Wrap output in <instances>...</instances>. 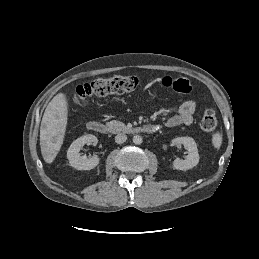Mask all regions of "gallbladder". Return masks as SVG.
<instances>
[{
  "label": "gallbladder",
  "instance_id": "bac80fb5",
  "mask_svg": "<svg viewBox=\"0 0 259 259\" xmlns=\"http://www.w3.org/2000/svg\"><path fill=\"white\" fill-rule=\"evenodd\" d=\"M83 102H84L85 104L87 103V101H85V100H84Z\"/></svg>",
  "mask_w": 259,
  "mask_h": 259
}]
</instances>
